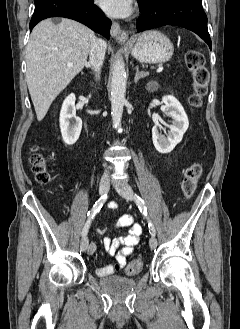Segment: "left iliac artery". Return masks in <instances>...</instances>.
Wrapping results in <instances>:
<instances>
[{"instance_id": "left-iliac-artery-1", "label": "left iliac artery", "mask_w": 240, "mask_h": 329, "mask_svg": "<svg viewBox=\"0 0 240 329\" xmlns=\"http://www.w3.org/2000/svg\"><path fill=\"white\" fill-rule=\"evenodd\" d=\"M134 199H135V202H136L139 210L141 211V213L147 218L150 234L152 236H155L156 230H155V227H154L153 223L151 222V220L147 216V207L145 206L144 200L136 194L134 196Z\"/></svg>"}]
</instances>
